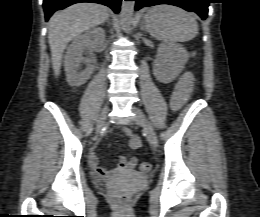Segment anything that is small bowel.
Masks as SVG:
<instances>
[{
	"instance_id": "c3829d8e",
	"label": "small bowel",
	"mask_w": 260,
	"mask_h": 217,
	"mask_svg": "<svg viewBox=\"0 0 260 217\" xmlns=\"http://www.w3.org/2000/svg\"><path fill=\"white\" fill-rule=\"evenodd\" d=\"M192 83L193 75L190 72L186 71L180 75L172 95V107L174 109H179L182 106L183 102L191 92ZM122 131L130 137L129 148L131 150H137L141 147L139 136L132 134L130 130L126 128L122 129ZM88 162L92 172L98 178H107L112 175L111 171L99 165L98 158L95 154L92 153L89 155ZM136 165L137 159L135 157L126 158L122 156L118 160L115 171L117 173L131 172L135 169Z\"/></svg>"
}]
</instances>
